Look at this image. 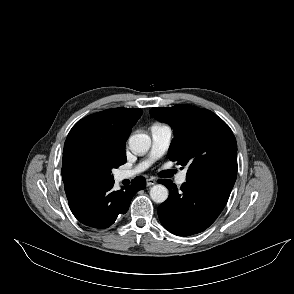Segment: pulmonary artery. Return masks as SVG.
<instances>
[{
  "mask_svg": "<svg viewBox=\"0 0 294 294\" xmlns=\"http://www.w3.org/2000/svg\"><path fill=\"white\" fill-rule=\"evenodd\" d=\"M152 145L148 156L135 167L122 169L118 172L116 178L123 180L134 177L147 169L155 160L160 158L168 150L171 139L172 129L169 125L155 123L150 127ZM187 171H181L176 177V183L182 185L186 182Z\"/></svg>",
  "mask_w": 294,
  "mask_h": 294,
  "instance_id": "e3ab8cb5",
  "label": "pulmonary artery"
}]
</instances>
